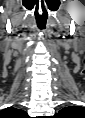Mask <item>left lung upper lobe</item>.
<instances>
[{
	"label": "left lung upper lobe",
	"instance_id": "left-lung-upper-lobe-1",
	"mask_svg": "<svg viewBox=\"0 0 85 118\" xmlns=\"http://www.w3.org/2000/svg\"><path fill=\"white\" fill-rule=\"evenodd\" d=\"M75 109V107H66L59 111V115H70L71 112Z\"/></svg>",
	"mask_w": 85,
	"mask_h": 118
}]
</instances>
